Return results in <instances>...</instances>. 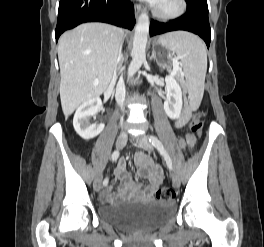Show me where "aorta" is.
Instances as JSON below:
<instances>
[{
    "label": "aorta",
    "instance_id": "aorta-1",
    "mask_svg": "<svg viewBox=\"0 0 264 247\" xmlns=\"http://www.w3.org/2000/svg\"><path fill=\"white\" fill-rule=\"evenodd\" d=\"M149 16L146 12L141 13L135 26L133 37L132 61L128 67V77L133 75L140 69L146 60V45L149 35Z\"/></svg>",
    "mask_w": 264,
    "mask_h": 247
}]
</instances>
